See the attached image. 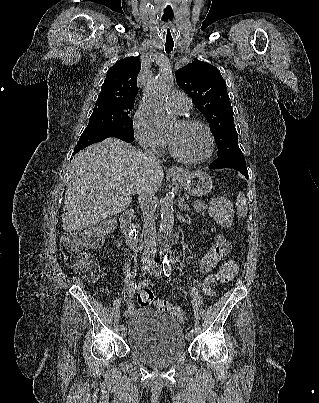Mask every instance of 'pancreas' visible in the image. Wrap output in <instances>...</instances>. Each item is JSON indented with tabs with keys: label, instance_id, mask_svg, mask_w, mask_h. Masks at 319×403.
Masks as SVG:
<instances>
[{
	"label": "pancreas",
	"instance_id": "obj_1",
	"mask_svg": "<svg viewBox=\"0 0 319 403\" xmlns=\"http://www.w3.org/2000/svg\"><path fill=\"white\" fill-rule=\"evenodd\" d=\"M194 209L197 213L204 215L206 213L207 206L202 202H199L197 205H194Z\"/></svg>",
	"mask_w": 319,
	"mask_h": 403
}]
</instances>
